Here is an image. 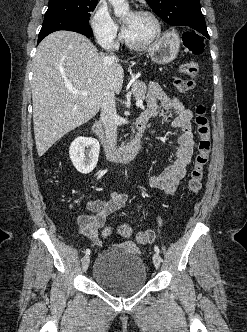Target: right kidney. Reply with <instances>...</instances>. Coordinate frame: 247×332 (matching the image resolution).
Masks as SVG:
<instances>
[{"instance_id": "right-kidney-1", "label": "right kidney", "mask_w": 247, "mask_h": 332, "mask_svg": "<svg viewBox=\"0 0 247 332\" xmlns=\"http://www.w3.org/2000/svg\"><path fill=\"white\" fill-rule=\"evenodd\" d=\"M100 145L94 138L77 137L70 145L69 155L74 167L83 174H88L96 167Z\"/></svg>"}]
</instances>
